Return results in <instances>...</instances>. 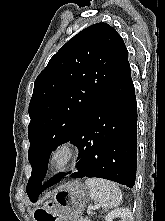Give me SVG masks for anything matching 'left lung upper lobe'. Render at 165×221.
Wrapping results in <instances>:
<instances>
[{
	"instance_id": "1",
	"label": "left lung upper lobe",
	"mask_w": 165,
	"mask_h": 221,
	"mask_svg": "<svg viewBox=\"0 0 165 221\" xmlns=\"http://www.w3.org/2000/svg\"><path fill=\"white\" fill-rule=\"evenodd\" d=\"M127 61L122 37L110 25L97 23L64 44L38 75L29 104L32 173L26 191L31 201L40 195L52 151L71 139Z\"/></svg>"
}]
</instances>
